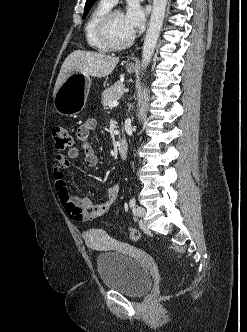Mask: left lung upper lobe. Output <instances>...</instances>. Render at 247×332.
<instances>
[{
	"label": "left lung upper lobe",
	"mask_w": 247,
	"mask_h": 332,
	"mask_svg": "<svg viewBox=\"0 0 247 332\" xmlns=\"http://www.w3.org/2000/svg\"><path fill=\"white\" fill-rule=\"evenodd\" d=\"M95 1L96 0H86L83 19L86 17L87 13L89 12V9L92 7V5Z\"/></svg>",
	"instance_id": "left-lung-upper-lobe-1"
}]
</instances>
